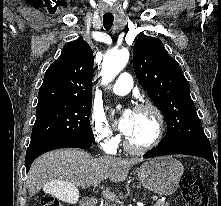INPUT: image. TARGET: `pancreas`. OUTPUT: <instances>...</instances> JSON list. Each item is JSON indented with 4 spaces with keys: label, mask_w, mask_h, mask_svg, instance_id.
<instances>
[{
    "label": "pancreas",
    "mask_w": 221,
    "mask_h": 206,
    "mask_svg": "<svg viewBox=\"0 0 221 206\" xmlns=\"http://www.w3.org/2000/svg\"><path fill=\"white\" fill-rule=\"evenodd\" d=\"M104 206H112L110 203H105ZM116 206V205H113ZM153 206H169L168 202L157 201Z\"/></svg>",
    "instance_id": "obj_1"
}]
</instances>
